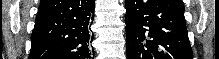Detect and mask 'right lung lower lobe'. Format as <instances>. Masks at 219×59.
Instances as JSON below:
<instances>
[{"instance_id":"right-lung-lower-lobe-1","label":"right lung lower lobe","mask_w":219,"mask_h":59,"mask_svg":"<svg viewBox=\"0 0 219 59\" xmlns=\"http://www.w3.org/2000/svg\"><path fill=\"white\" fill-rule=\"evenodd\" d=\"M95 0H42L29 59L90 58Z\"/></svg>"}]
</instances>
